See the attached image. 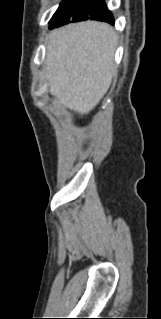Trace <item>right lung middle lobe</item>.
<instances>
[{
    "mask_svg": "<svg viewBox=\"0 0 161 319\" xmlns=\"http://www.w3.org/2000/svg\"><path fill=\"white\" fill-rule=\"evenodd\" d=\"M101 2V0H63L49 22L50 29L88 19L99 8Z\"/></svg>",
    "mask_w": 161,
    "mask_h": 319,
    "instance_id": "1",
    "label": "right lung middle lobe"
}]
</instances>
